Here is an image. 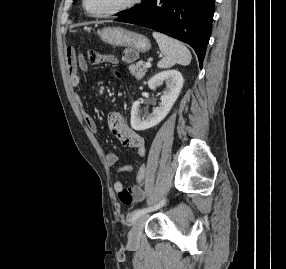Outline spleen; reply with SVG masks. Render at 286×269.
<instances>
[{
  "instance_id": "1",
  "label": "spleen",
  "mask_w": 286,
  "mask_h": 269,
  "mask_svg": "<svg viewBox=\"0 0 286 269\" xmlns=\"http://www.w3.org/2000/svg\"><path fill=\"white\" fill-rule=\"evenodd\" d=\"M153 37L157 41L160 51L164 55L163 59L157 64L159 68H170L176 63L180 65H189L192 56L182 42L159 32H153Z\"/></svg>"
}]
</instances>
